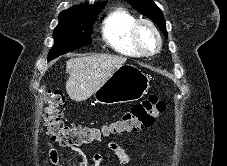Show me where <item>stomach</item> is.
<instances>
[{"mask_svg": "<svg viewBox=\"0 0 227 166\" xmlns=\"http://www.w3.org/2000/svg\"><path fill=\"white\" fill-rule=\"evenodd\" d=\"M150 88V77L138 67L124 64L118 68L95 92L101 104H119L141 99Z\"/></svg>", "mask_w": 227, "mask_h": 166, "instance_id": "obj_1", "label": "stomach"}]
</instances>
